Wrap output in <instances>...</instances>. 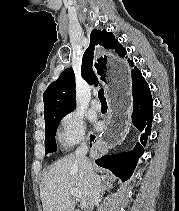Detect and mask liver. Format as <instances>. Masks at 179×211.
<instances>
[{"label":"liver","mask_w":179,"mask_h":211,"mask_svg":"<svg viewBox=\"0 0 179 211\" xmlns=\"http://www.w3.org/2000/svg\"><path fill=\"white\" fill-rule=\"evenodd\" d=\"M93 174L94 179L100 180V183L106 179L94 171ZM92 186L93 183L80 167L74 154L59 159L49 168L40 184L43 211H74L75 200L71 196L70 188L81 192V206L84 211H88Z\"/></svg>","instance_id":"6515ba94"}]
</instances>
